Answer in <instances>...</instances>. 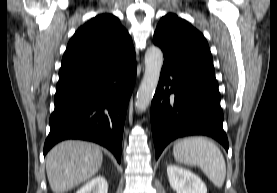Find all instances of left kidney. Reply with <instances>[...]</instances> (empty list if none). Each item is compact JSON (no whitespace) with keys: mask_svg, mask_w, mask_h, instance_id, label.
Wrapping results in <instances>:
<instances>
[{"mask_svg":"<svg viewBox=\"0 0 277 193\" xmlns=\"http://www.w3.org/2000/svg\"><path fill=\"white\" fill-rule=\"evenodd\" d=\"M167 175L170 185L176 193H207L204 182L197 175L181 166L169 164Z\"/></svg>","mask_w":277,"mask_h":193,"instance_id":"1","label":"left kidney"}]
</instances>
